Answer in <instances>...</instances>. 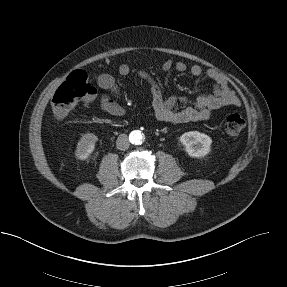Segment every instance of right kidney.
<instances>
[{"instance_id":"ca27d5eb","label":"right kidney","mask_w":287,"mask_h":287,"mask_svg":"<svg viewBox=\"0 0 287 287\" xmlns=\"http://www.w3.org/2000/svg\"><path fill=\"white\" fill-rule=\"evenodd\" d=\"M97 141L98 137L95 134H84L77 143V148L75 151L77 158L80 160L87 159L94 151Z\"/></svg>"}]
</instances>
